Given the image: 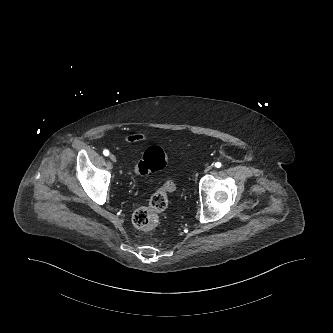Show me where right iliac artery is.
Returning <instances> with one entry per match:
<instances>
[{
  "label": "right iliac artery",
  "instance_id": "right-iliac-artery-1",
  "mask_svg": "<svg viewBox=\"0 0 333 333\" xmlns=\"http://www.w3.org/2000/svg\"><path fill=\"white\" fill-rule=\"evenodd\" d=\"M103 154H104L105 156H108V155H109V151H108L107 149H105V150L103 151Z\"/></svg>",
  "mask_w": 333,
  "mask_h": 333
}]
</instances>
